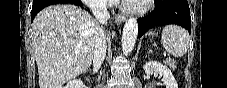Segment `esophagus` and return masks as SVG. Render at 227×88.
Masks as SVG:
<instances>
[{"instance_id":"obj_1","label":"esophagus","mask_w":227,"mask_h":88,"mask_svg":"<svg viewBox=\"0 0 227 88\" xmlns=\"http://www.w3.org/2000/svg\"><path fill=\"white\" fill-rule=\"evenodd\" d=\"M114 18H115L116 22H119V23H122L126 20V17L122 14H117V15H115Z\"/></svg>"}]
</instances>
